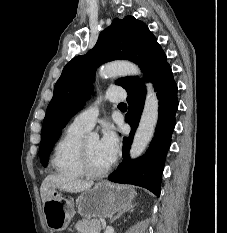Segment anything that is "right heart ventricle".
<instances>
[{
  "label": "right heart ventricle",
  "instance_id": "1",
  "mask_svg": "<svg viewBox=\"0 0 227 233\" xmlns=\"http://www.w3.org/2000/svg\"><path fill=\"white\" fill-rule=\"evenodd\" d=\"M85 132L70 125L56 143L51 164L61 177L79 179L85 176L79 162V149Z\"/></svg>",
  "mask_w": 227,
  "mask_h": 233
}]
</instances>
